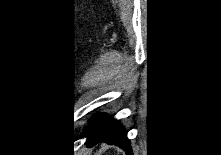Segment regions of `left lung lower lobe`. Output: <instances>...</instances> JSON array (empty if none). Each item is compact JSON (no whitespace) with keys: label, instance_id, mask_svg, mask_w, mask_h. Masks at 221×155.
Masks as SVG:
<instances>
[{"label":"left lung lower lobe","instance_id":"0a47b994","mask_svg":"<svg viewBox=\"0 0 221 155\" xmlns=\"http://www.w3.org/2000/svg\"><path fill=\"white\" fill-rule=\"evenodd\" d=\"M104 118V114H95L90 119V124L85 130L91 132V134L87 135V142L90 145H95L101 141H105L108 144L118 145L123 148L128 155H132L130 142L127 139L126 131L121 124L116 120L103 123L102 120Z\"/></svg>","mask_w":221,"mask_h":155}]
</instances>
